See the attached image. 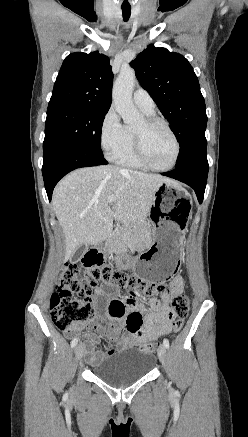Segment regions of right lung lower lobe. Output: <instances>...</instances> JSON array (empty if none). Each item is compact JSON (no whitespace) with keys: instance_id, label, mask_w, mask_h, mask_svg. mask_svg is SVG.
<instances>
[{"instance_id":"right-lung-lower-lobe-1","label":"right lung lower lobe","mask_w":248,"mask_h":437,"mask_svg":"<svg viewBox=\"0 0 248 437\" xmlns=\"http://www.w3.org/2000/svg\"><path fill=\"white\" fill-rule=\"evenodd\" d=\"M43 151L42 174L49 201H51L57 182L70 171L81 167L107 164L103 155L94 154L75 145L59 144Z\"/></svg>"}]
</instances>
